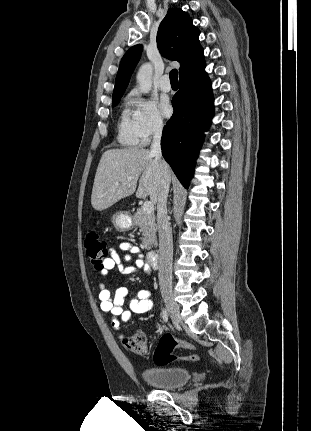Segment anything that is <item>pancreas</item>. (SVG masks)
<instances>
[{
	"label": "pancreas",
	"instance_id": "1",
	"mask_svg": "<svg viewBox=\"0 0 311 431\" xmlns=\"http://www.w3.org/2000/svg\"><path fill=\"white\" fill-rule=\"evenodd\" d=\"M134 219L135 225L140 227V231L142 233V245L144 249H150V247L156 245L157 225L155 223L154 214H147V212H144L143 208H137Z\"/></svg>",
	"mask_w": 311,
	"mask_h": 431
}]
</instances>
